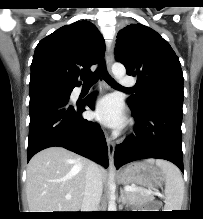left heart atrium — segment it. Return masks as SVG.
<instances>
[{
  "label": "left heart atrium",
  "mask_w": 203,
  "mask_h": 219,
  "mask_svg": "<svg viewBox=\"0 0 203 219\" xmlns=\"http://www.w3.org/2000/svg\"><path fill=\"white\" fill-rule=\"evenodd\" d=\"M94 116L100 122L111 127H121L125 123L120 102L114 96H106L99 100L95 107Z\"/></svg>",
  "instance_id": "obj_1"
}]
</instances>
